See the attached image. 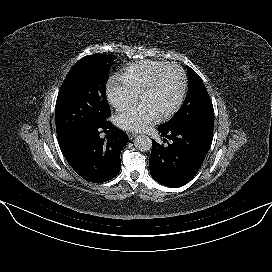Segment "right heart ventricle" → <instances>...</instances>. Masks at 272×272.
Instances as JSON below:
<instances>
[{
	"label": "right heart ventricle",
	"mask_w": 272,
	"mask_h": 272,
	"mask_svg": "<svg viewBox=\"0 0 272 272\" xmlns=\"http://www.w3.org/2000/svg\"><path fill=\"white\" fill-rule=\"evenodd\" d=\"M167 63L144 59L126 66L120 74L121 81L137 95L154 74Z\"/></svg>",
	"instance_id": "obj_1"
}]
</instances>
